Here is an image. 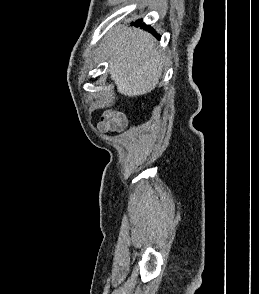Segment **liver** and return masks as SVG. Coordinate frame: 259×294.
<instances>
[{
  "label": "liver",
  "mask_w": 259,
  "mask_h": 294,
  "mask_svg": "<svg viewBox=\"0 0 259 294\" xmlns=\"http://www.w3.org/2000/svg\"><path fill=\"white\" fill-rule=\"evenodd\" d=\"M101 50L119 93L133 97L155 89L162 74L164 56L149 33L117 25L104 37Z\"/></svg>",
  "instance_id": "1"
}]
</instances>
